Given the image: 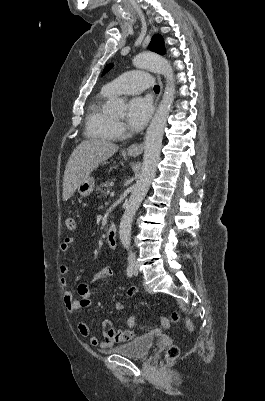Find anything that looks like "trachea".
Here are the masks:
<instances>
[{
    "label": "trachea",
    "mask_w": 265,
    "mask_h": 401,
    "mask_svg": "<svg viewBox=\"0 0 265 401\" xmlns=\"http://www.w3.org/2000/svg\"><path fill=\"white\" fill-rule=\"evenodd\" d=\"M159 91H160L159 85H155V86H154V92H155V93H159Z\"/></svg>",
    "instance_id": "trachea-1"
}]
</instances>
